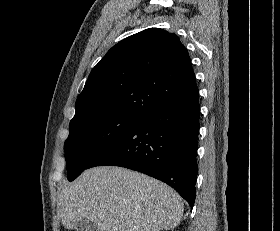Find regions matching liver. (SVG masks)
Segmentation results:
<instances>
[{
  "instance_id": "obj_1",
  "label": "liver",
  "mask_w": 280,
  "mask_h": 231,
  "mask_svg": "<svg viewBox=\"0 0 280 231\" xmlns=\"http://www.w3.org/2000/svg\"><path fill=\"white\" fill-rule=\"evenodd\" d=\"M59 213L67 229L78 221H95L98 231H160L181 221L179 193L149 175L126 167L101 165L63 185Z\"/></svg>"
}]
</instances>
